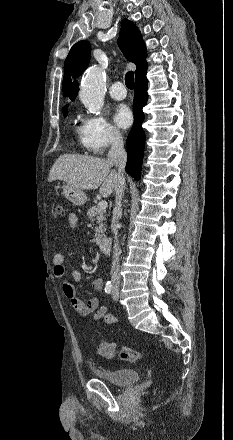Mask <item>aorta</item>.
Returning a JSON list of instances; mask_svg holds the SVG:
<instances>
[{"mask_svg":"<svg viewBox=\"0 0 233 440\" xmlns=\"http://www.w3.org/2000/svg\"><path fill=\"white\" fill-rule=\"evenodd\" d=\"M106 82L100 68H90L82 78L80 100L93 114H98L104 104Z\"/></svg>","mask_w":233,"mask_h":440,"instance_id":"obj_1","label":"aorta"}]
</instances>
